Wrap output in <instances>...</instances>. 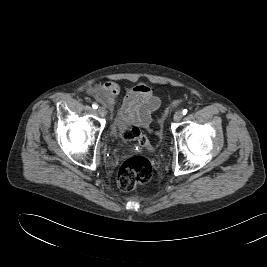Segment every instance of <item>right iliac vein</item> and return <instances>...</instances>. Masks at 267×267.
I'll list each match as a JSON object with an SVG mask.
<instances>
[{"instance_id":"1","label":"right iliac vein","mask_w":267,"mask_h":267,"mask_svg":"<svg viewBox=\"0 0 267 267\" xmlns=\"http://www.w3.org/2000/svg\"><path fill=\"white\" fill-rule=\"evenodd\" d=\"M98 113L101 117H105L107 115V110L105 107L101 106L98 108Z\"/></svg>"}]
</instances>
